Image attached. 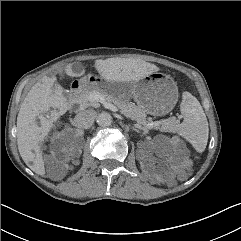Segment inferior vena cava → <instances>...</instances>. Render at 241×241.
Returning a JSON list of instances; mask_svg holds the SVG:
<instances>
[{"instance_id":"602c4592","label":"inferior vena cava","mask_w":241,"mask_h":241,"mask_svg":"<svg viewBox=\"0 0 241 241\" xmlns=\"http://www.w3.org/2000/svg\"><path fill=\"white\" fill-rule=\"evenodd\" d=\"M97 113L93 109L82 110L76 114L74 124L78 128L88 129L93 126Z\"/></svg>"}]
</instances>
